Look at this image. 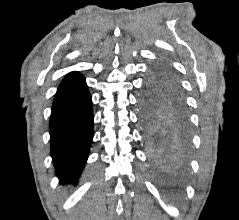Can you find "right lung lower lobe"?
Returning <instances> with one entry per match:
<instances>
[{
	"instance_id": "1",
	"label": "right lung lower lobe",
	"mask_w": 239,
	"mask_h": 220,
	"mask_svg": "<svg viewBox=\"0 0 239 220\" xmlns=\"http://www.w3.org/2000/svg\"><path fill=\"white\" fill-rule=\"evenodd\" d=\"M92 99L85 78L69 73L56 92L50 118L51 156L62 182L76 183L93 139Z\"/></svg>"
}]
</instances>
